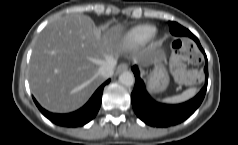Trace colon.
<instances>
[{
    "instance_id": "1",
    "label": "colon",
    "mask_w": 238,
    "mask_h": 145,
    "mask_svg": "<svg viewBox=\"0 0 238 145\" xmlns=\"http://www.w3.org/2000/svg\"><path fill=\"white\" fill-rule=\"evenodd\" d=\"M173 53L170 61V72L182 84H193L199 81L198 71L186 68V63H199L201 58L197 47L190 40H177L172 45Z\"/></svg>"
}]
</instances>
